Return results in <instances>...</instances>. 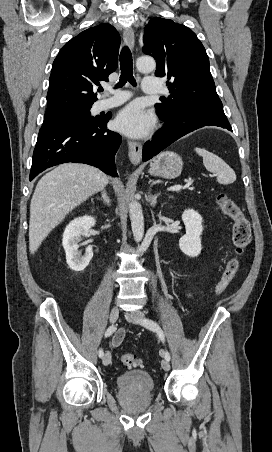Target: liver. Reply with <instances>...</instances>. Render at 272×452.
Segmentation results:
<instances>
[{
	"label": "liver",
	"mask_w": 272,
	"mask_h": 452,
	"mask_svg": "<svg viewBox=\"0 0 272 452\" xmlns=\"http://www.w3.org/2000/svg\"><path fill=\"white\" fill-rule=\"evenodd\" d=\"M108 182V176L101 170L81 163H64L46 173L31 199L30 253L37 251L69 212L104 189Z\"/></svg>",
	"instance_id": "liver-1"
}]
</instances>
